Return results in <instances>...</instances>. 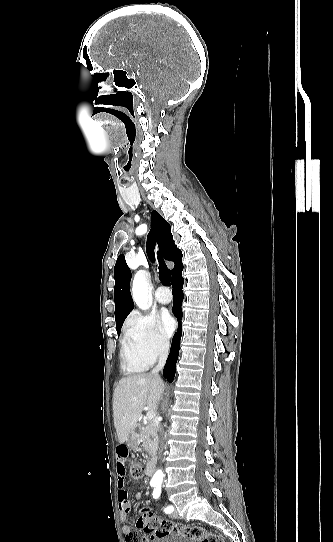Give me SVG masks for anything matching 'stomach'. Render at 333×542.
I'll return each instance as SVG.
<instances>
[{
	"mask_svg": "<svg viewBox=\"0 0 333 542\" xmlns=\"http://www.w3.org/2000/svg\"><path fill=\"white\" fill-rule=\"evenodd\" d=\"M140 440H141L140 432H136V430H133V432L129 434L126 440L127 446H129V448H137V446H139L140 444Z\"/></svg>",
	"mask_w": 333,
	"mask_h": 542,
	"instance_id": "0dacf381",
	"label": "stomach"
}]
</instances>
